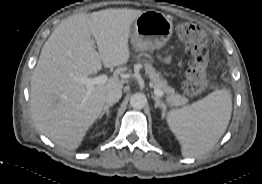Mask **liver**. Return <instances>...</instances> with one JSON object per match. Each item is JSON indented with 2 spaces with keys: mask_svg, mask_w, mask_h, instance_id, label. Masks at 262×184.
Segmentation results:
<instances>
[{
  "mask_svg": "<svg viewBox=\"0 0 262 184\" xmlns=\"http://www.w3.org/2000/svg\"><path fill=\"white\" fill-rule=\"evenodd\" d=\"M141 13L122 8L73 15L43 45L31 77V115L38 130L56 145L77 149L104 109L107 92L123 88L125 81L119 75L127 70L124 65L130 58L131 24ZM102 63L118 68L87 94L86 86L75 78L101 70Z\"/></svg>",
  "mask_w": 262,
  "mask_h": 184,
  "instance_id": "obj_1",
  "label": "liver"
}]
</instances>
